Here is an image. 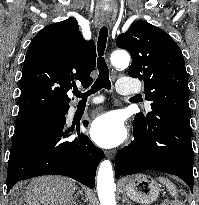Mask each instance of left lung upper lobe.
<instances>
[{"mask_svg": "<svg viewBox=\"0 0 199 205\" xmlns=\"http://www.w3.org/2000/svg\"><path fill=\"white\" fill-rule=\"evenodd\" d=\"M117 46L129 51L128 74L144 81L145 98L151 101L152 111L137 113L134 123L146 125L156 110L190 117L184 57L170 35L146 21H136L117 37Z\"/></svg>", "mask_w": 199, "mask_h": 205, "instance_id": "5c2ea615", "label": "left lung upper lobe"}]
</instances>
